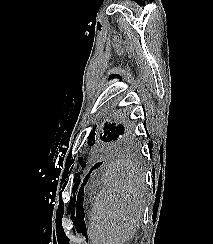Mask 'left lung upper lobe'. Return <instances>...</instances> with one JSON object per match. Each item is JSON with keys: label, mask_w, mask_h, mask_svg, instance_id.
I'll use <instances>...</instances> for the list:
<instances>
[{"label": "left lung upper lobe", "mask_w": 213, "mask_h": 244, "mask_svg": "<svg viewBox=\"0 0 213 244\" xmlns=\"http://www.w3.org/2000/svg\"><path fill=\"white\" fill-rule=\"evenodd\" d=\"M122 117V113L120 114H115L114 119H111L109 122H106L103 128L102 133L100 134L101 140L105 142H109L112 140H116L119 137L124 136L128 131H129V126H124L123 124H120V118ZM95 143V132L91 131L89 136H88V144L92 146ZM80 165L82 167L86 166V162L82 160V158L79 159ZM78 176L79 174L75 175L74 178V190L78 187L80 184L81 180H79Z\"/></svg>", "instance_id": "5c2ea615"}]
</instances>
